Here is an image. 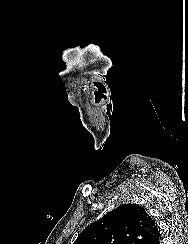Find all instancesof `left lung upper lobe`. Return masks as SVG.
Listing matches in <instances>:
<instances>
[{
	"instance_id": "5c2ea615",
	"label": "left lung upper lobe",
	"mask_w": 188,
	"mask_h": 244,
	"mask_svg": "<svg viewBox=\"0 0 188 244\" xmlns=\"http://www.w3.org/2000/svg\"><path fill=\"white\" fill-rule=\"evenodd\" d=\"M158 232L145 209L129 203L87 226L74 244H150Z\"/></svg>"
}]
</instances>
